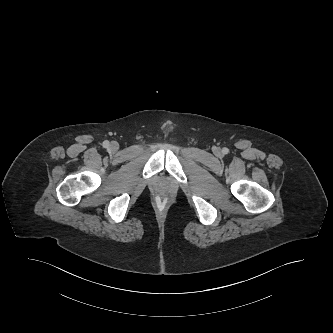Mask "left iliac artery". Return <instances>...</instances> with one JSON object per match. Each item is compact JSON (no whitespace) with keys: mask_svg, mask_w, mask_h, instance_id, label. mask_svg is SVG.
Listing matches in <instances>:
<instances>
[{"mask_svg":"<svg viewBox=\"0 0 333 333\" xmlns=\"http://www.w3.org/2000/svg\"><path fill=\"white\" fill-rule=\"evenodd\" d=\"M228 151H229V150H228L227 148H223V153H224V154H227Z\"/></svg>","mask_w":333,"mask_h":333,"instance_id":"obj_1","label":"left iliac artery"}]
</instances>
